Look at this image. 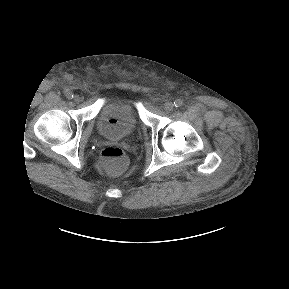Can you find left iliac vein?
Wrapping results in <instances>:
<instances>
[{
	"label": "left iliac vein",
	"mask_w": 289,
	"mask_h": 289,
	"mask_svg": "<svg viewBox=\"0 0 289 289\" xmlns=\"http://www.w3.org/2000/svg\"><path fill=\"white\" fill-rule=\"evenodd\" d=\"M163 108L166 111H171L174 108V104L172 102H170V101H167V102L164 103Z\"/></svg>",
	"instance_id": "left-iliac-vein-1"
}]
</instances>
